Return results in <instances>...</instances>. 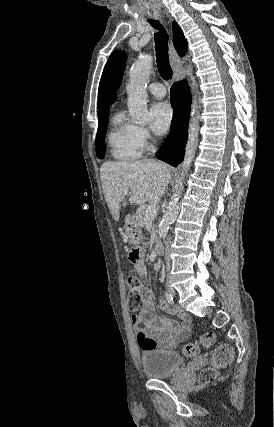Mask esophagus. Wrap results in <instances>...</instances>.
Here are the masks:
<instances>
[{
	"label": "esophagus",
	"mask_w": 274,
	"mask_h": 427,
	"mask_svg": "<svg viewBox=\"0 0 274 427\" xmlns=\"http://www.w3.org/2000/svg\"><path fill=\"white\" fill-rule=\"evenodd\" d=\"M169 53H170V63H171V66L173 68V73H174V75H173L174 81H179L180 79L184 78V73H183V70L179 66L180 59H179V56L177 55L172 43L170 44Z\"/></svg>",
	"instance_id": "34e87169"
}]
</instances>
